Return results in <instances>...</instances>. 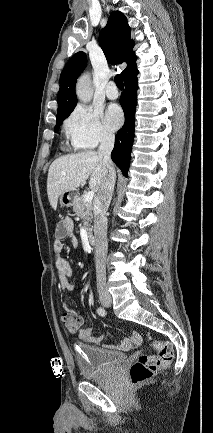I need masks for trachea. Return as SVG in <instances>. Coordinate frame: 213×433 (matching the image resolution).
Masks as SVG:
<instances>
[{"label": "trachea", "instance_id": "3493384b", "mask_svg": "<svg viewBox=\"0 0 213 433\" xmlns=\"http://www.w3.org/2000/svg\"><path fill=\"white\" fill-rule=\"evenodd\" d=\"M115 83H116V85H117L118 88H120V89L124 88L123 79H122V75L121 74H117L115 76Z\"/></svg>", "mask_w": 213, "mask_h": 433}]
</instances>
